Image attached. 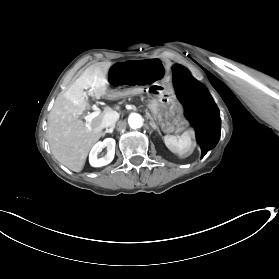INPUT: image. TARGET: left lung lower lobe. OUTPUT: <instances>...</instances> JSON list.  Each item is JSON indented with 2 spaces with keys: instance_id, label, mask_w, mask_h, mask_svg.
Instances as JSON below:
<instances>
[{
  "instance_id": "left-lung-lower-lobe-1",
  "label": "left lung lower lobe",
  "mask_w": 279,
  "mask_h": 279,
  "mask_svg": "<svg viewBox=\"0 0 279 279\" xmlns=\"http://www.w3.org/2000/svg\"><path fill=\"white\" fill-rule=\"evenodd\" d=\"M173 85L178 99L188 110L200 131L202 157L220 139V115L207 89L182 65L173 66Z\"/></svg>"
}]
</instances>
